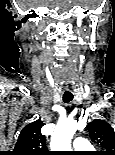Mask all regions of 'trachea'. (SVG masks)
I'll return each mask as SVG.
<instances>
[{"label": "trachea", "instance_id": "trachea-1", "mask_svg": "<svg viewBox=\"0 0 115 155\" xmlns=\"http://www.w3.org/2000/svg\"><path fill=\"white\" fill-rule=\"evenodd\" d=\"M64 103H69L73 99L72 90H64L62 93Z\"/></svg>", "mask_w": 115, "mask_h": 155}]
</instances>
